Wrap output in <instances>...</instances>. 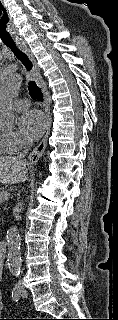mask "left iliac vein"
I'll list each match as a JSON object with an SVG mask.
<instances>
[{
    "label": "left iliac vein",
    "mask_w": 118,
    "mask_h": 320,
    "mask_svg": "<svg viewBox=\"0 0 118 320\" xmlns=\"http://www.w3.org/2000/svg\"><path fill=\"white\" fill-rule=\"evenodd\" d=\"M18 285H19V288H20V294H21V296H22V297H27L28 293H27V291H26L23 283H22V282H19Z\"/></svg>",
    "instance_id": "left-iliac-vein-1"
}]
</instances>
